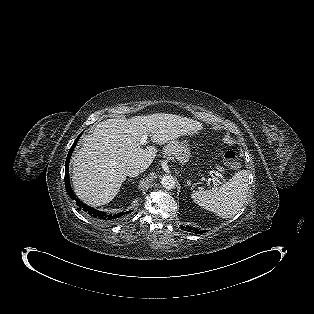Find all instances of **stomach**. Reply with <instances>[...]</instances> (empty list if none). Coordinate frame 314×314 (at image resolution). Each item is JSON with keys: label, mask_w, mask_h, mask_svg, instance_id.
I'll return each instance as SVG.
<instances>
[{"label": "stomach", "mask_w": 314, "mask_h": 314, "mask_svg": "<svg viewBox=\"0 0 314 314\" xmlns=\"http://www.w3.org/2000/svg\"><path fill=\"white\" fill-rule=\"evenodd\" d=\"M165 155L167 157L173 156L180 163H186L190 158V148L186 140L176 138L171 140L165 147Z\"/></svg>", "instance_id": "1"}]
</instances>
